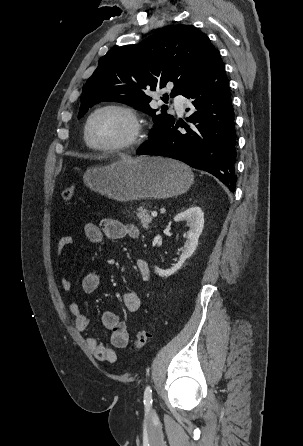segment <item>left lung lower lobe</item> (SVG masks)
I'll return each mask as SVG.
<instances>
[{
	"label": "left lung lower lobe",
	"instance_id": "left-lung-lower-lobe-1",
	"mask_svg": "<svg viewBox=\"0 0 303 446\" xmlns=\"http://www.w3.org/2000/svg\"><path fill=\"white\" fill-rule=\"evenodd\" d=\"M225 65L220 53L196 83L182 95L192 100L191 126L175 121L148 141L138 155H159L180 160L204 170L223 182L230 191L236 186V141L233 105Z\"/></svg>",
	"mask_w": 303,
	"mask_h": 446
}]
</instances>
